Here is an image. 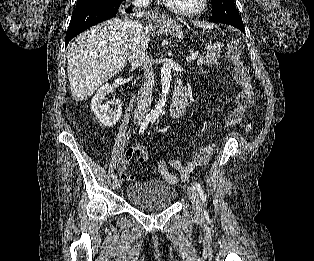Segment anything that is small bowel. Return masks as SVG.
Returning <instances> with one entry per match:
<instances>
[{"instance_id":"1","label":"small bowel","mask_w":314,"mask_h":261,"mask_svg":"<svg viewBox=\"0 0 314 261\" xmlns=\"http://www.w3.org/2000/svg\"><path fill=\"white\" fill-rule=\"evenodd\" d=\"M173 117L176 119L182 118V112H174L172 113ZM244 130L246 133H249L250 127L248 125L244 126ZM138 153L139 158L138 161L143 162L140 160V157H143L144 160L147 158V152L141 145H135L127 149V151L124 153V155L119 159L118 161V172L120 179L122 181H130L133 180L134 177L130 174H128L125 170L126 165L129 163V161L132 159L133 155ZM183 156H189V153L186 151H178L174 154L172 157L171 163L174 166V168L177 170L179 177L181 179H188L189 172L192 168L187 169L186 166L182 163L181 158ZM157 169L162 178L169 184H177L178 183V177L174 175L168 168V164L166 161L161 160L157 164Z\"/></svg>"}]
</instances>
